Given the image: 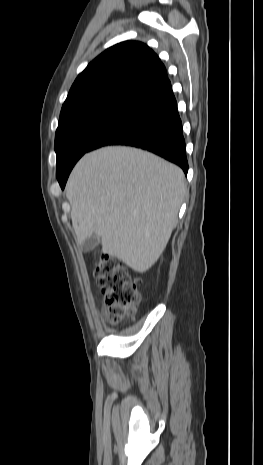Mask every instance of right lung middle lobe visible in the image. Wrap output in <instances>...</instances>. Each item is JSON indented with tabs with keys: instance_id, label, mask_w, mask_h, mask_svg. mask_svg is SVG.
Segmentation results:
<instances>
[{
	"instance_id": "obj_1",
	"label": "right lung middle lobe",
	"mask_w": 263,
	"mask_h": 465,
	"mask_svg": "<svg viewBox=\"0 0 263 465\" xmlns=\"http://www.w3.org/2000/svg\"><path fill=\"white\" fill-rule=\"evenodd\" d=\"M136 101L111 96L82 103L60 114L55 135L57 179L68 175L79 158L90 151L105 133Z\"/></svg>"
}]
</instances>
